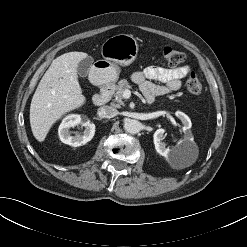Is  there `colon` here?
<instances>
[{
	"label": "colon",
	"mask_w": 247,
	"mask_h": 247,
	"mask_svg": "<svg viewBox=\"0 0 247 247\" xmlns=\"http://www.w3.org/2000/svg\"><path fill=\"white\" fill-rule=\"evenodd\" d=\"M162 56L165 63L171 67H176L185 62V55L181 51L174 49L172 47H165L162 50ZM186 87L190 94L199 95L202 91V85L195 72L190 73L187 81Z\"/></svg>",
	"instance_id": "1"
}]
</instances>
